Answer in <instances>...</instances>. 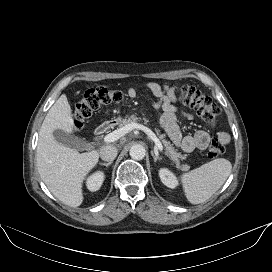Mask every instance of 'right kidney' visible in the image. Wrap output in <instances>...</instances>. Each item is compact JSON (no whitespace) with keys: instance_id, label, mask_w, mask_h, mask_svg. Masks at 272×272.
I'll return each instance as SVG.
<instances>
[{"instance_id":"right-kidney-1","label":"right kidney","mask_w":272,"mask_h":272,"mask_svg":"<svg viewBox=\"0 0 272 272\" xmlns=\"http://www.w3.org/2000/svg\"><path fill=\"white\" fill-rule=\"evenodd\" d=\"M104 173L103 172H95L87 179V188L90 191H97L100 189L103 181H104Z\"/></svg>"}]
</instances>
